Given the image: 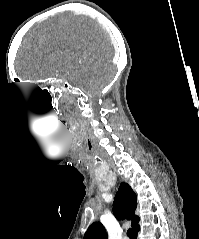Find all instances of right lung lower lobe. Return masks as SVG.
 Returning <instances> with one entry per match:
<instances>
[{
  "label": "right lung lower lobe",
  "instance_id": "98d812e1",
  "mask_svg": "<svg viewBox=\"0 0 199 239\" xmlns=\"http://www.w3.org/2000/svg\"><path fill=\"white\" fill-rule=\"evenodd\" d=\"M139 230H140L139 226L136 229H134L135 239H137V233H138Z\"/></svg>",
  "mask_w": 199,
  "mask_h": 239
}]
</instances>
